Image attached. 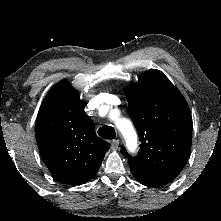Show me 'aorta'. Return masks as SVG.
Wrapping results in <instances>:
<instances>
[{
  "label": "aorta",
  "instance_id": "obj_1",
  "mask_svg": "<svg viewBox=\"0 0 221 221\" xmlns=\"http://www.w3.org/2000/svg\"><path fill=\"white\" fill-rule=\"evenodd\" d=\"M117 127L122 131V133L126 136H134V129L130 123V121L126 119H121L117 122Z\"/></svg>",
  "mask_w": 221,
  "mask_h": 221
}]
</instances>
